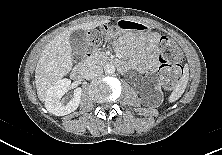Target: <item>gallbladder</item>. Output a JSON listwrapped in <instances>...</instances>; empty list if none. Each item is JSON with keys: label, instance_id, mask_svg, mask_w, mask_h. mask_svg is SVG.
<instances>
[{"label": "gallbladder", "instance_id": "obj_1", "mask_svg": "<svg viewBox=\"0 0 222 155\" xmlns=\"http://www.w3.org/2000/svg\"><path fill=\"white\" fill-rule=\"evenodd\" d=\"M72 49L77 53L84 52L88 47V34L84 30H76L70 36Z\"/></svg>", "mask_w": 222, "mask_h": 155}]
</instances>
